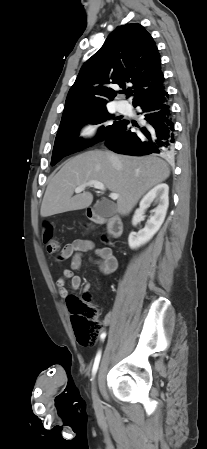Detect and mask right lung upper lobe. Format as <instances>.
<instances>
[{
  "label": "right lung upper lobe",
  "instance_id": "right-lung-upper-lobe-1",
  "mask_svg": "<svg viewBox=\"0 0 207 449\" xmlns=\"http://www.w3.org/2000/svg\"><path fill=\"white\" fill-rule=\"evenodd\" d=\"M157 46L146 29L138 24L117 27L103 46L82 66L69 90L62 119L106 109L117 92L128 87L133 102L164 90V76ZM121 92V91H120Z\"/></svg>",
  "mask_w": 207,
  "mask_h": 449
}]
</instances>
